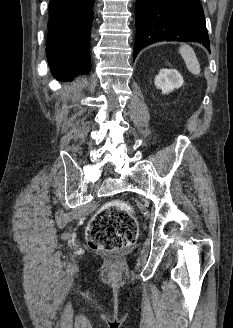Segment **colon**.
Returning a JSON list of instances; mask_svg holds the SVG:
<instances>
[{
  "instance_id": "1",
  "label": "colon",
  "mask_w": 233,
  "mask_h": 328,
  "mask_svg": "<svg viewBox=\"0 0 233 328\" xmlns=\"http://www.w3.org/2000/svg\"><path fill=\"white\" fill-rule=\"evenodd\" d=\"M138 226L131 207L122 201L105 204L90 221L86 238L96 251L115 252L132 245Z\"/></svg>"
}]
</instances>
